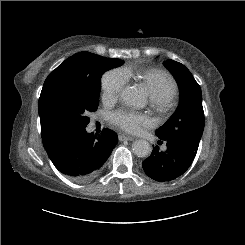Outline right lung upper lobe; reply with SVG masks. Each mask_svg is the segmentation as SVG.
<instances>
[{"instance_id":"cb5924a9","label":"right lung upper lobe","mask_w":245,"mask_h":245,"mask_svg":"<svg viewBox=\"0 0 245 245\" xmlns=\"http://www.w3.org/2000/svg\"><path fill=\"white\" fill-rule=\"evenodd\" d=\"M84 54V52L76 53L70 58L66 59L62 64H60L55 70H53L45 81L56 77V76H66L70 78H79L84 75V68L80 63V57ZM42 141L44 146L50 143L53 137H48L44 135L42 132Z\"/></svg>"}]
</instances>
